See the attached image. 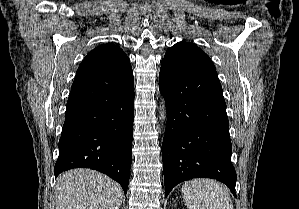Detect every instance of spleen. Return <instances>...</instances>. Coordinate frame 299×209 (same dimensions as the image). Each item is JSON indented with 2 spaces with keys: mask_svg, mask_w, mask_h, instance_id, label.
Wrapping results in <instances>:
<instances>
[{
  "mask_svg": "<svg viewBox=\"0 0 299 209\" xmlns=\"http://www.w3.org/2000/svg\"><path fill=\"white\" fill-rule=\"evenodd\" d=\"M181 192L188 209H233L228 189L216 180L187 181Z\"/></svg>",
  "mask_w": 299,
  "mask_h": 209,
  "instance_id": "spleen-1",
  "label": "spleen"
}]
</instances>
